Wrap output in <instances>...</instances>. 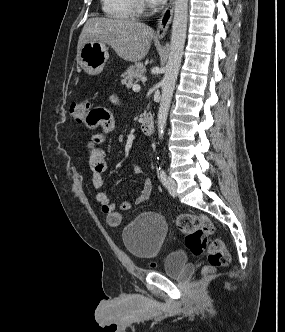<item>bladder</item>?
Here are the masks:
<instances>
[{
	"label": "bladder",
	"mask_w": 285,
	"mask_h": 332,
	"mask_svg": "<svg viewBox=\"0 0 285 332\" xmlns=\"http://www.w3.org/2000/svg\"><path fill=\"white\" fill-rule=\"evenodd\" d=\"M168 234V224L156 212H144L134 218L122 231V241L127 251L138 259H149L158 255ZM165 274L184 279L191 272V265L184 252L167 256Z\"/></svg>",
	"instance_id": "1"
}]
</instances>
